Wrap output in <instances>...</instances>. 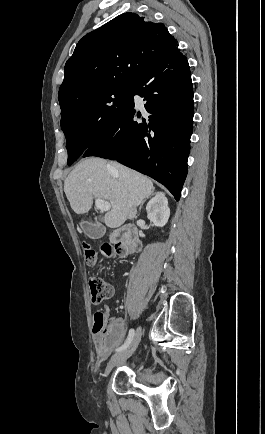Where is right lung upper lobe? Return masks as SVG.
<instances>
[{
    "label": "right lung upper lobe",
    "instance_id": "cb5924a9",
    "mask_svg": "<svg viewBox=\"0 0 265 434\" xmlns=\"http://www.w3.org/2000/svg\"><path fill=\"white\" fill-rule=\"evenodd\" d=\"M176 45L163 23L132 12L121 14L78 42L65 64L58 97L106 78L135 80Z\"/></svg>",
    "mask_w": 265,
    "mask_h": 434
}]
</instances>
